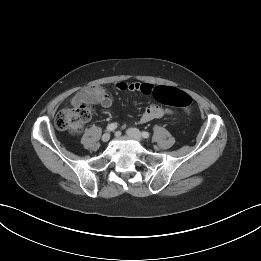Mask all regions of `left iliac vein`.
<instances>
[{"label": "left iliac vein", "instance_id": "obj_1", "mask_svg": "<svg viewBox=\"0 0 261 261\" xmlns=\"http://www.w3.org/2000/svg\"><path fill=\"white\" fill-rule=\"evenodd\" d=\"M127 135L130 136L131 138L137 140V141H142L143 138H142V135L140 133V131L136 128H129L127 131H126Z\"/></svg>", "mask_w": 261, "mask_h": 261}]
</instances>
